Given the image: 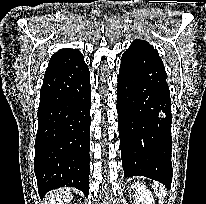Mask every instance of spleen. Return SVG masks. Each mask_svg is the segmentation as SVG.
<instances>
[{
  "label": "spleen",
  "mask_w": 206,
  "mask_h": 204,
  "mask_svg": "<svg viewBox=\"0 0 206 204\" xmlns=\"http://www.w3.org/2000/svg\"><path fill=\"white\" fill-rule=\"evenodd\" d=\"M154 191L156 195L159 197L160 200L164 198L165 189L164 186L160 185L159 183L155 182L153 185Z\"/></svg>",
  "instance_id": "3e777b00"
}]
</instances>
